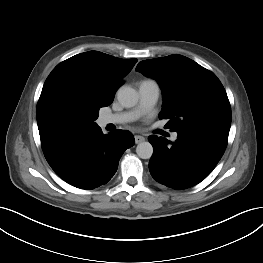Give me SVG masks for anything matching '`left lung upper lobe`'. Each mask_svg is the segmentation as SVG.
<instances>
[{"instance_id":"5c2ea615","label":"left lung upper lobe","mask_w":263,"mask_h":263,"mask_svg":"<svg viewBox=\"0 0 263 263\" xmlns=\"http://www.w3.org/2000/svg\"><path fill=\"white\" fill-rule=\"evenodd\" d=\"M136 71L159 83L163 93L159 119H169L166 128L230 130V103L223 85L211 71L182 55L141 61Z\"/></svg>"}]
</instances>
